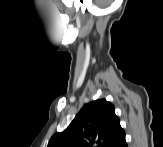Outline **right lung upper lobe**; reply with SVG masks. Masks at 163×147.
I'll list each match as a JSON object with an SVG mask.
<instances>
[{"instance_id":"cb5924a9","label":"right lung upper lobe","mask_w":163,"mask_h":147,"mask_svg":"<svg viewBox=\"0 0 163 147\" xmlns=\"http://www.w3.org/2000/svg\"><path fill=\"white\" fill-rule=\"evenodd\" d=\"M123 135L114 106L101 99L86 104L67 129L51 137L47 147H112Z\"/></svg>"}]
</instances>
